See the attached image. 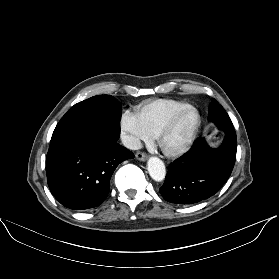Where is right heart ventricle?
I'll return each instance as SVG.
<instances>
[{"mask_svg":"<svg viewBox=\"0 0 279 279\" xmlns=\"http://www.w3.org/2000/svg\"><path fill=\"white\" fill-rule=\"evenodd\" d=\"M190 104L172 99H156L141 103L136 107V114L147 133L156 137L167 120L177 111Z\"/></svg>","mask_w":279,"mask_h":279,"instance_id":"1","label":"right heart ventricle"}]
</instances>
